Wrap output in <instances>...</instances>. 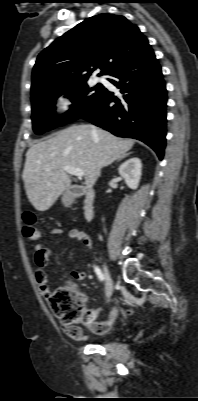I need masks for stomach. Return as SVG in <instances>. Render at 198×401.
<instances>
[{
  "mask_svg": "<svg viewBox=\"0 0 198 401\" xmlns=\"http://www.w3.org/2000/svg\"><path fill=\"white\" fill-rule=\"evenodd\" d=\"M62 202L64 203V205H70L72 200L67 195H64L62 198Z\"/></svg>",
  "mask_w": 198,
  "mask_h": 401,
  "instance_id": "1",
  "label": "stomach"
}]
</instances>
